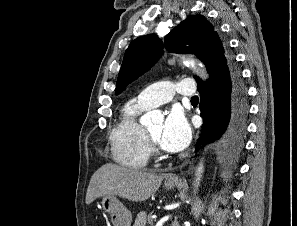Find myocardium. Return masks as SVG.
Masks as SVG:
<instances>
[{"label": "myocardium", "instance_id": "1", "mask_svg": "<svg viewBox=\"0 0 297 226\" xmlns=\"http://www.w3.org/2000/svg\"><path fill=\"white\" fill-rule=\"evenodd\" d=\"M145 133H146V138L148 140L149 146L153 147L157 151V149H156V144H157L156 140L153 139V137L150 135L149 131L145 130ZM158 154H159V152H158Z\"/></svg>", "mask_w": 297, "mask_h": 226}]
</instances>
